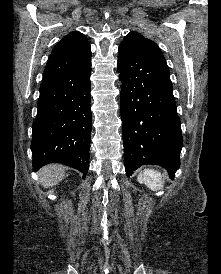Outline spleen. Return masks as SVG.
Here are the masks:
<instances>
[{
    "mask_svg": "<svg viewBox=\"0 0 221 274\" xmlns=\"http://www.w3.org/2000/svg\"><path fill=\"white\" fill-rule=\"evenodd\" d=\"M137 180L140 183H144L148 188L153 191H159L163 189L164 181L158 171L145 169L143 173H140L138 175Z\"/></svg>",
    "mask_w": 221,
    "mask_h": 274,
    "instance_id": "1",
    "label": "spleen"
}]
</instances>
